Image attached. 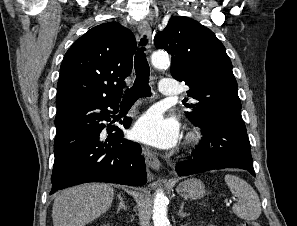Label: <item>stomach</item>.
Segmentation results:
<instances>
[{
  "mask_svg": "<svg viewBox=\"0 0 297 226\" xmlns=\"http://www.w3.org/2000/svg\"><path fill=\"white\" fill-rule=\"evenodd\" d=\"M177 192L190 199H200L206 193L203 182L194 178L181 182L177 187Z\"/></svg>",
  "mask_w": 297,
  "mask_h": 226,
  "instance_id": "obj_1",
  "label": "stomach"
}]
</instances>
